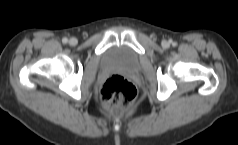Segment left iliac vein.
Masks as SVG:
<instances>
[{
    "instance_id": "obj_1",
    "label": "left iliac vein",
    "mask_w": 238,
    "mask_h": 145,
    "mask_svg": "<svg viewBox=\"0 0 238 145\" xmlns=\"http://www.w3.org/2000/svg\"><path fill=\"white\" fill-rule=\"evenodd\" d=\"M162 46H163L164 48H168V47H169V42H168V41H163V42H162Z\"/></svg>"
}]
</instances>
